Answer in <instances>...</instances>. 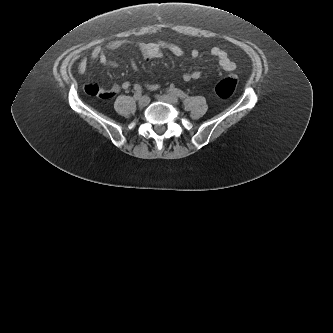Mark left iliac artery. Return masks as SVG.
Returning <instances> with one entry per match:
<instances>
[{"instance_id":"44dca946","label":"left iliac artery","mask_w":333,"mask_h":333,"mask_svg":"<svg viewBox=\"0 0 333 333\" xmlns=\"http://www.w3.org/2000/svg\"><path fill=\"white\" fill-rule=\"evenodd\" d=\"M168 92H170L171 94H175L180 99H185L187 97V95L183 91H181V90H179L177 88H170L168 90Z\"/></svg>"}]
</instances>
